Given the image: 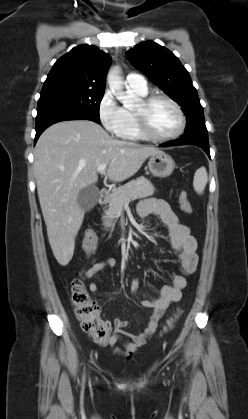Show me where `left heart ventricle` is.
<instances>
[{"label":"left heart ventricle","instance_id":"left-heart-ventricle-1","mask_svg":"<svg viewBox=\"0 0 248 419\" xmlns=\"http://www.w3.org/2000/svg\"><path fill=\"white\" fill-rule=\"evenodd\" d=\"M140 103L137 108H139ZM150 130L158 136H166L175 132L179 126V117L171 104L157 100L147 109Z\"/></svg>","mask_w":248,"mask_h":419}]
</instances>
